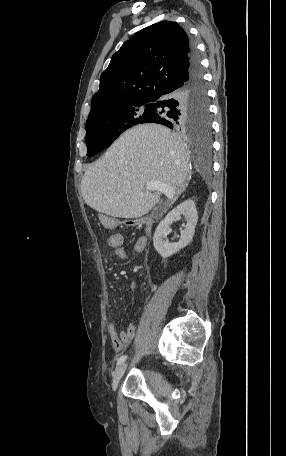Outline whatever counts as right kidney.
Returning <instances> with one entry per match:
<instances>
[{
    "instance_id": "right-kidney-1",
    "label": "right kidney",
    "mask_w": 286,
    "mask_h": 456,
    "mask_svg": "<svg viewBox=\"0 0 286 456\" xmlns=\"http://www.w3.org/2000/svg\"><path fill=\"white\" fill-rule=\"evenodd\" d=\"M181 215H183L186 219V226L185 229L181 231L179 242L170 243L168 240H164L165 230L176 219H179ZM197 221L198 214L195 202L191 199L182 202L176 208L171 210L159 223L153 237L154 248L161 255V257L168 258L187 246L193 239Z\"/></svg>"
}]
</instances>
